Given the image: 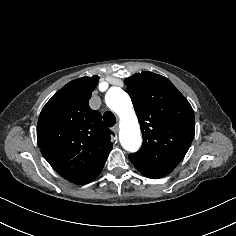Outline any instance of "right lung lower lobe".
I'll return each instance as SVG.
<instances>
[{
  "mask_svg": "<svg viewBox=\"0 0 236 236\" xmlns=\"http://www.w3.org/2000/svg\"><path fill=\"white\" fill-rule=\"evenodd\" d=\"M100 172L95 176H92V177H89V178H86V179H83V180L71 181V182H74L76 184H87V183L93 181L100 174Z\"/></svg>",
  "mask_w": 236,
  "mask_h": 236,
  "instance_id": "right-lung-lower-lobe-1",
  "label": "right lung lower lobe"
}]
</instances>
